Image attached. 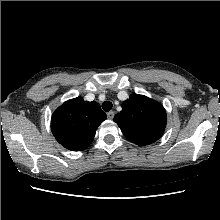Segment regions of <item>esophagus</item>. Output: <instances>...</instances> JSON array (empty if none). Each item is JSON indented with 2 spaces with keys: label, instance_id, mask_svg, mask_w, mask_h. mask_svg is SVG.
I'll return each mask as SVG.
<instances>
[{
  "label": "esophagus",
  "instance_id": "esophagus-1",
  "mask_svg": "<svg viewBox=\"0 0 220 220\" xmlns=\"http://www.w3.org/2000/svg\"><path fill=\"white\" fill-rule=\"evenodd\" d=\"M107 117H108L109 119H113V117H114V111H109V112L107 113Z\"/></svg>",
  "mask_w": 220,
  "mask_h": 220
}]
</instances>
